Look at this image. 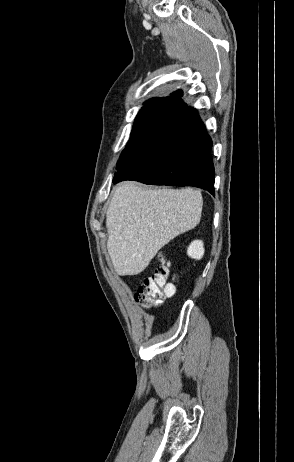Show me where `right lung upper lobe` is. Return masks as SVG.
Listing matches in <instances>:
<instances>
[{"label":"right lung upper lobe","instance_id":"right-lung-upper-lobe-1","mask_svg":"<svg viewBox=\"0 0 294 462\" xmlns=\"http://www.w3.org/2000/svg\"><path fill=\"white\" fill-rule=\"evenodd\" d=\"M179 96H182V91H176V92L172 93L170 97H165V98H174V97L177 98L178 97V99H181V98H179ZM160 99H164V98H152V99H149L146 102V104L150 103V102H153V101H156V100H160Z\"/></svg>","mask_w":294,"mask_h":462}]
</instances>
